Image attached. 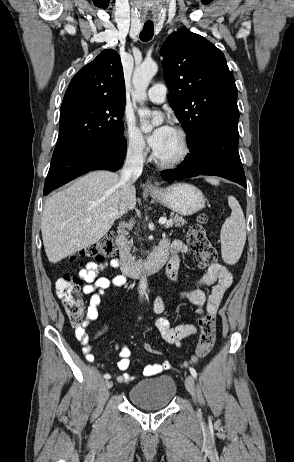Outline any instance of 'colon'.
<instances>
[{"instance_id":"obj_1","label":"colon","mask_w":294,"mask_h":462,"mask_svg":"<svg viewBox=\"0 0 294 462\" xmlns=\"http://www.w3.org/2000/svg\"><path fill=\"white\" fill-rule=\"evenodd\" d=\"M205 217L200 216L187 233L188 244L193 251L194 260L201 269H209L217 261V251L207 238L204 223ZM115 234L108 232L98 242L86 247L80 256L103 262L115 254ZM73 255L71 259H76ZM83 281L74 275L65 273L56 281V294L61 300L72 325L78 326L83 319V300L80 295ZM200 329L193 362L206 357L214 347L216 340V316L214 313H202L198 319ZM145 350L151 354L159 352L150 344H145Z\"/></svg>"}]
</instances>
